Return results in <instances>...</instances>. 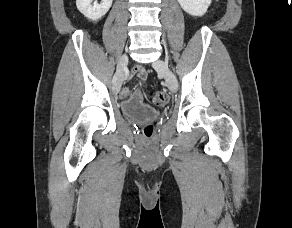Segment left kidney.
<instances>
[{
	"instance_id": "obj_1",
	"label": "left kidney",
	"mask_w": 292,
	"mask_h": 228,
	"mask_svg": "<svg viewBox=\"0 0 292 228\" xmlns=\"http://www.w3.org/2000/svg\"><path fill=\"white\" fill-rule=\"evenodd\" d=\"M182 9L192 16H203L212 0H177Z\"/></svg>"
}]
</instances>
